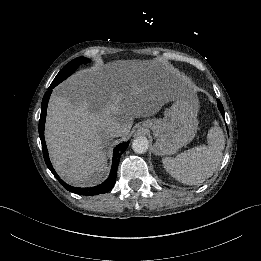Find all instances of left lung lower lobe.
Returning <instances> with one entry per match:
<instances>
[{
    "label": "left lung lower lobe",
    "mask_w": 261,
    "mask_h": 261,
    "mask_svg": "<svg viewBox=\"0 0 261 261\" xmlns=\"http://www.w3.org/2000/svg\"><path fill=\"white\" fill-rule=\"evenodd\" d=\"M217 105H218V109L220 110L221 114L224 115L223 105L220 102V100H217Z\"/></svg>",
    "instance_id": "left-lung-lower-lobe-1"
}]
</instances>
